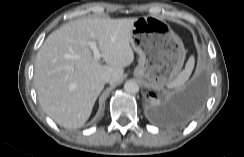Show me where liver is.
<instances>
[{
  "label": "liver",
  "instance_id": "6515ba94",
  "mask_svg": "<svg viewBox=\"0 0 244 157\" xmlns=\"http://www.w3.org/2000/svg\"><path fill=\"white\" fill-rule=\"evenodd\" d=\"M137 18H83L53 31L34 64V86L44 112L62 127H82L104 89L101 76L120 82L124 67L134 61L130 33ZM95 41L106 65L94 59Z\"/></svg>",
  "mask_w": 244,
  "mask_h": 157
}]
</instances>
